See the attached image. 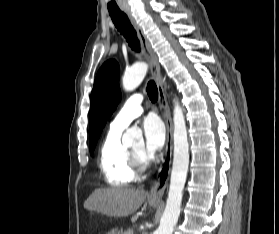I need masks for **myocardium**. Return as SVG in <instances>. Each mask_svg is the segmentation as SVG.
Listing matches in <instances>:
<instances>
[{
    "label": "myocardium",
    "mask_w": 279,
    "mask_h": 234,
    "mask_svg": "<svg viewBox=\"0 0 279 234\" xmlns=\"http://www.w3.org/2000/svg\"><path fill=\"white\" fill-rule=\"evenodd\" d=\"M131 162L136 171V173L143 172L148 166V158L146 157L145 153L136 152L133 149H129Z\"/></svg>",
    "instance_id": "1"
}]
</instances>
